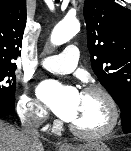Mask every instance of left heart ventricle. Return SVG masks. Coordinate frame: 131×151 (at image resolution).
Returning a JSON list of instances; mask_svg holds the SVG:
<instances>
[{
  "label": "left heart ventricle",
  "mask_w": 131,
  "mask_h": 151,
  "mask_svg": "<svg viewBox=\"0 0 131 151\" xmlns=\"http://www.w3.org/2000/svg\"><path fill=\"white\" fill-rule=\"evenodd\" d=\"M110 118L106 102L94 94H81L75 118L71 124L85 131H96L104 128Z\"/></svg>",
  "instance_id": "obj_1"
}]
</instances>
